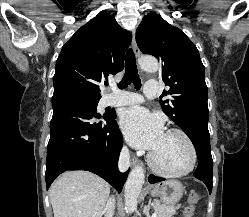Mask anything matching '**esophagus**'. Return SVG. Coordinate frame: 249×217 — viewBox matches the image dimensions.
Returning <instances> with one entry per match:
<instances>
[{"instance_id": "1", "label": "esophagus", "mask_w": 249, "mask_h": 217, "mask_svg": "<svg viewBox=\"0 0 249 217\" xmlns=\"http://www.w3.org/2000/svg\"><path fill=\"white\" fill-rule=\"evenodd\" d=\"M132 46H133V50H134V53H135L136 57H139L140 50H139L137 42H136L135 30L132 31ZM137 163H138L137 158L136 157H132V159H131V165L135 166Z\"/></svg>"}]
</instances>
